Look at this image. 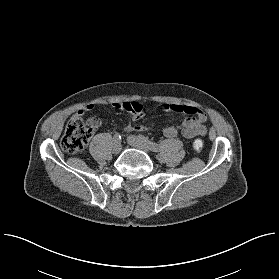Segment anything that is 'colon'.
I'll return each mask as SVG.
<instances>
[{
    "instance_id": "obj_1",
    "label": "colon",
    "mask_w": 279,
    "mask_h": 279,
    "mask_svg": "<svg viewBox=\"0 0 279 279\" xmlns=\"http://www.w3.org/2000/svg\"><path fill=\"white\" fill-rule=\"evenodd\" d=\"M142 109L143 106L138 102H127L124 106L126 112L134 114H139ZM100 124L101 120L97 117H91L85 123L79 119L70 118L65 125L61 140L63 150L70 154L81 153ZM203 145L201 138H196L192 143L195 152H200Z\"/></svg>"
}]
</instances>
